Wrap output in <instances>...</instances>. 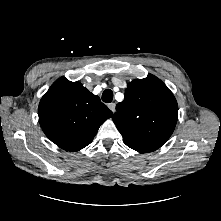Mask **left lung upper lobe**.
Here are the masks:
<instances>
[{
  "mask_svg": "<svg viewBox=\"0 0 221 221\" xmlns=\"http://www.w3.org/2000/svg\"><path fill=\"white\" fill-rule=\"evenodd\" d=\"M116 110L112 118L124 143L140 153L161 147L173 133L178 116L174 95L152 74L128 83Z\"/></svg>",
  "mask_w": 221,
  "mask_h": 221,
  "instance_id": "5c2ea615",
  "label": "left lung upper lobe"
}]
</instances>
